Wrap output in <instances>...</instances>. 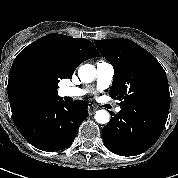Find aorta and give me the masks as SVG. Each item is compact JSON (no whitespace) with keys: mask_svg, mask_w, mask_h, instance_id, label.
<instances>
[{"mask_svg":"<svg viewBox=\"0 0 178 178\" xmlns=\"http://www.w3.org/2000/svg\"><path fill=\"white\" fill-rule=\"evenodd\" d=\"M78 76L84 83L93 82L96 78V69L91 64H84L78 70ZM95 120L100 124H106L110 120V114L106 110H98L94 115Z\"/></svg>","mask_w":178,"mask_h":178,"instance_id":"1","label":"aorta"}]
</instances>
